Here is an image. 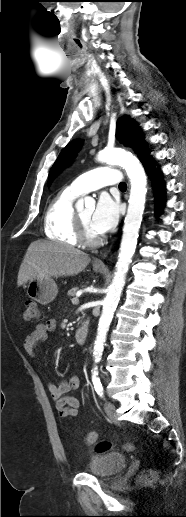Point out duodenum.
<instances>
[{
    "mask_svg": "<svg viewBox=\"0 0 186 517\" xmlns=\"http://www.w3.org/2000/svg\"><path fill=\"white\" fill-rule=\"evenodd\" d=\"M89 330V322L87 320L83 321L82 324L75 331V339L76 342L83 346L87 341Z\"/></svg>",
    "mask_w": 186,
    "mask_h": 517,
    "instance_id": "obj_1",
    "label": "duodenum"
}]
</instances>
